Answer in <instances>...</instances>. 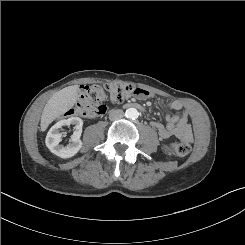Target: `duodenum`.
Returning <instances> with one entry per match:
<instances>
[{"mask_svg":"<svg viewBox=\"0 0 245 245\" xmlns=\"http://www.w3.org/2000/svg\"><path fill=\"white\" fill-rule=\"evenodd\" d=\"M127 106L137 108V109H142V107L137 103H129Z\"/></svg>","mask_w":245,"mask_h":245,"instance_id":"duodenum-1","label":"duodenum"}]
</instances>
